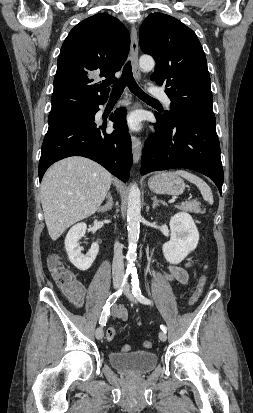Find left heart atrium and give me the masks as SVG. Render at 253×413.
Returning <instances> with one entry per match:
<instances>
[{"mask_svg": "<svg viewBox=\"0 0 253 413\" xmlns=\"http://www.w3.org/2000/svg\"><path fill=\"white\" fill-rule=\"evenodd\" d=\"M126 126L131 130H139L141 127V117L138 113H131L125 119Z\"/></svg>", "mask_w": 253, "mask_h": 413, "instance_id": "left-heart-atrium-1", "label": "left heart atrium"}]
</instances>
